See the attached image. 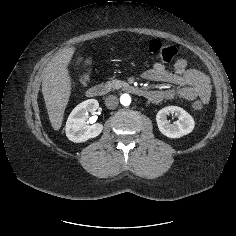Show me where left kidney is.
Wrapping results in <instances>:
<instances>
[{
    "mask_svg": "<svg viewBox=\"0 0 236 236\" xmlns=\"http://www.w3.org/2000/svg\"><path fill=\"white\" fill-rule=\"evenodd\" d=\"M174 114L178 121L170 124L167 115ZM156 121L160 132L168 138H180L192 132L195 126L193 117L178 106H168L158 111Z\"/></svg>",
    "mask_w": 236,
    "mask_h": 236,
    "instance_id": "obj_1",
    "label": "left kidney"
}]
</instances>
